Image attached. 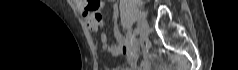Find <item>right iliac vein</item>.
<instances>
[{"mask_svg": "<svg viewBox=\"0 0 238 70\" xmlns=\"http://www.w3.org/2000/svg\"><path fill=\"white\" fill-rule=\"evenodd\" d=\"M138 29H139V33H140V38L141 41H145L148 37V24L147 21L144 18H140L138 20Z\"/></svg>", "mask_w": 238, "mask_h": 70, "instance_id": "right-iliac-vein-1", "label": "right iliac vein"}]
</instances>
